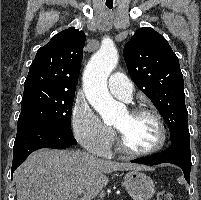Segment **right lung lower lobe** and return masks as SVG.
Here are the masks:
<instances>
[{"mask_svg": "<svg viewBox=\"0 0 201 200\" xmlns=\"http://www.w3.org/2000/svg\"><path fill=\"white\" fill-rule=\"evenodd\" d=\"M77 144L72 132L44 122L18 126L13 147L11 175L33 151L41 148L66 149Z\"/></svg>", "mask_w": 201, "mask_h": 200, "instance_id": "1", "label": "right lung lower lobe"}]
</instances>
